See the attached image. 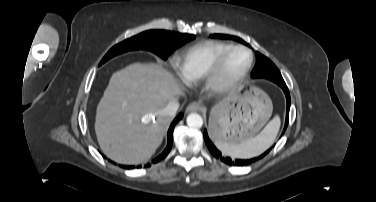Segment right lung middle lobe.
Wrapping results in <instances>:
<instances>
[{"label":"right lung middle lobe","instance_id":"dd1d6c3e","mask_svg":"<svg viewBox=\"0 0 376 202\" xmlns=\"http://www.w3.org/2000/svg\"><path fill=\"white\" fill-rule=\"evenodd\" d=\"M194 38V35L165 30L142 32L111 48L100 62V65L118 54L138 49L152 51L163 59H167L174 50Z\"/></svg>","mask_w":376,"mask_h":202}]
</instances>
